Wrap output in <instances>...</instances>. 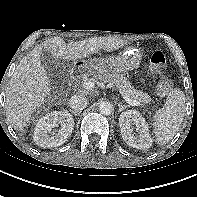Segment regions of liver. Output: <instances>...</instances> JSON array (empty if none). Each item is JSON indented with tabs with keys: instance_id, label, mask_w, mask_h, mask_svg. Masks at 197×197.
<instances>
[{
	"instance_id": "1",
	"label": "liver",
	"mask_w": 197,
	"mask_h": 197,
	"mask_svg": "<svg viewBox=\"0 0 197 197\" xmlns=\"http://www.w3.org/2000/svg\"><path fill=\"white\" fill-rule=\"evenodd\" d=\"M127 43L113 37H94L66 44L62 38L54 37L36 46L22 58L6 90L5 110L11 126L18 132L23 131L33 112L50 92V80L41 62L44 51L56 59L77 61L100 50H118Z\"/></svg>"
}]
</instances>
